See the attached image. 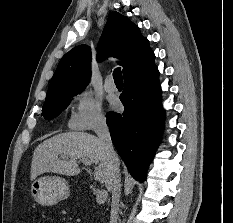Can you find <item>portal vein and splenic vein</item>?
I'll return each mask as SVG.
<instances>
[{
    "label": "portal vein and splenic vein",
    "instance_id": "portal-vein-and-splenic-vein-1",
    "mask_svg": "<svg viewBox=\"0 0 233 223\" xmlns=\"http://www.w3.org/2000/svg\"><path fill=\"white\" fill-rule=\"evenodd\" d=\"M82 163H84V165H90L88 161H82ZM107 197H108L107 191H105V189H100V191H98L96 195V201L97 203H105Z\"/></svg>",
    "mask_w": 233,
    "mask_h": 223
}]
</instances>
